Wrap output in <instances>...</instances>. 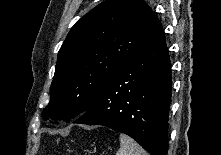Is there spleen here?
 <instances>
[{
	"instance_id": "1",
	"label": "spleen",
	"mask_w": 221,
	"mask_h": 155,
	"mask_svg": "<svg viewBox=\"0 0 221 155\" xmlns=\"http://www.w3.org/2000/svg\"><path fill=\"white\" fill-rule=\"evenodd\" d=\"M120 147L115 155H148L131 137L120 134Z\"/></svg>"
}]
</instances>
